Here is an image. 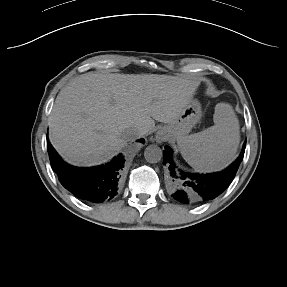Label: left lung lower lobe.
<instances>
[{"mask_svg":"<svg viewBox=\"0 0 287 287\" xmlns=\"http://www.w3.org/2000/svg\"><path fill=\"white\" fill-rule=\"evenodd\" d=\"M246 141L243 150L236 161L224 171L212 174H187L176 173L171 159L172 151L166 146L163 164H170L169 192L172 197L181 203H201L214 199L220 195L231 183L241 163L245 152Z\"/></svg>","mask_w":287,"mask_h":287,"instance_id":"left-lung-lower-lobe-1","label":"left lung lower lobe"}]
</instances>
